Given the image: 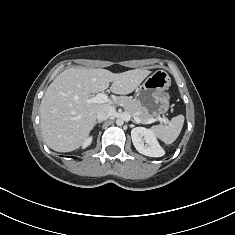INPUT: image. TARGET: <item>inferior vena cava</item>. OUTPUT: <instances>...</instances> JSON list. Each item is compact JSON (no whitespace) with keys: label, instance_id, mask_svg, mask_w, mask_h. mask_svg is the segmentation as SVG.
Here are the masks:
<instances>
[{"label":"inferior vena cava","instance_id":"inferior-vena-cava-1","mask_svg":"<svg viewBox=\"0 0 235 235\" xmlns=\"http://www.w3.org/2000/svg\"><path fill=\"white\" fill-rule=\"evenodd\" d=\"M114 113V109L111 106H101L97 111L98 121H104L110 118Z\"/></svg>","mask_w":235,"mask_h":235}]
</instances>
